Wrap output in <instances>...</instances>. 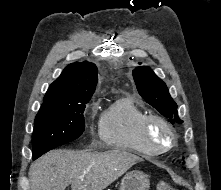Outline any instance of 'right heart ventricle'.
Returning a JSON list of instances; mask_svg holds the SVG:
<instances>
[{
	"label": "right heart ventricle",
	"mask_w": 221,
	"mask_h": 190,
	"mask_svg": "<svg viewBox=\"0 0 221 190\" xmlns=\"http://www.w3.org/2000/svg\"><path fill=\"white\" fill-rule=\"evenodd\" d=\"M146 111L130 95L116 97L99 118L100 139L109 147L153 155L141 137L140 123Z\"/></svg>",
	"instance_id": "right-heart-ventricle-1"
}]
</instances>
